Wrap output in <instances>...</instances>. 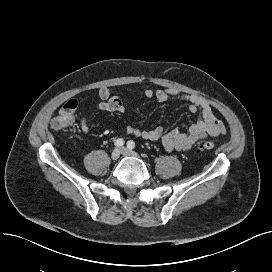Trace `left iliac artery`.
<instances>
[{
    "instance_id": "left-iliac-artery-1",
    "label": "left iliac artery",
    "mask_w": 272,
    "mask_h": 272,
    "mask_svg": "<svg viewBox=\"0 0 272 272\" xmlns=\"http://www.w3.org/2000/svg\"><path fill=\"white\" fill-rule=\"evenodd\" d=\"M127 147H128L129 149H134V148H135V142L132 141V140L128 141V142H127Z\"/></svg>"
}]
</instances>
